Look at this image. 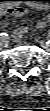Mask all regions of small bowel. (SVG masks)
I'll return each instance as SVG.
<instances>
[{
  "mask_svg": "<svg viewBox=\"0 0 50 111\" xmlns=\"http://www.w3.org/2000/svg\"><path fill=\"white\" fill-rule=\"evenodd\" d=\"M0 12L3 14L10 13L16 16H22L27 13V10L21 7H12V8L4 7L0 10ZM48 24H49V18L47 17L38 23V28L43 29ZM26 32H27V27L21 26L14 31L13 37L16 41H19L24 36V34H26Z\"/></svg>",
  "mask_w": 50,
  "mask_h": 111,
  "instance_id": "c3829d8e",
  "label": "small bowel"
}]
</instances>
